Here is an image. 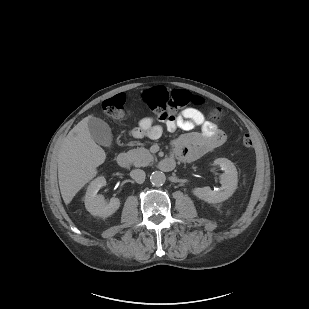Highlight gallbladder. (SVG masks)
<instances>
[{"instance_id":"obj_1","label":"gallbladder","mask_w":309,"mask_h":309,"mask_svg":"<svg viewBox=\"0 0 309 309\" xmlns=\"http://www.w3.org/2000/svg\"><path fill=\"white\" fill-rule=\"evenodd\" d=\"M92 139L101 146L111 147L113 135L109 125L100 118L92 117L88 121Z\"/></svg>"}]
</instances>
